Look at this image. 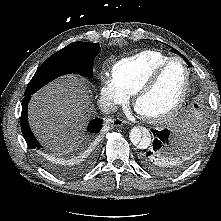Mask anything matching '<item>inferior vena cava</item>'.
I'll return each mask as SVG.
<instances>
[{"mask_svg": "<svg viewBox=\"0 0 221 221\" xmlns=\"http://www.w3.org/2000/svg\"><path fill=\"white\" fill-rule=\"evenodd\" d=\"M99 108L101 109L102 112L107 113V114L115 112L117 110V107L115 106V104L107 100H100Z\"/></svg>", "mask_w": 221, "mask_h": 221, "instance_id": "1", "label": "inferior vena cava"}]
</instances>
